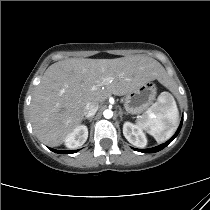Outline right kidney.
I'll use <instances>...</instances> for the list:
<instances>
[{
  "label": "right kidney",
  "mask_w": 210,
  "mask_h": 210,
  "mask_svg": "<svg viewBox=\"0 0 210 210\" xmlns=\"http://www.w3.org/2000/svg\"><path fill=\"white\" fill-rule=\"evenodd\" d=\"M88 138V128L85 125L77 126L71 133L65 138V145L70 149L78 148L82 146Z\"/></svg>",
  "instance_id": "ca27d5eb"
}]
</instances>
